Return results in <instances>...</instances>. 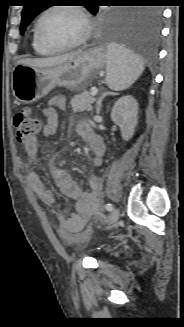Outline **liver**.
<instances>
[{
  "instance_id": "6515ba94",
  "label": "liver",
  "mask_w": 184,
  "mask_h": 327,
  "mask_svg": "<svg viewBox=\"0 0 184 327\" xmlns=\"http://www.w3.org/2000/svg\"><path fill=\"white\" fill-rule=\"evenodd\" d=\"M81 51L64 54L56 57L48 58H36V59H23L18 62V64H24L36 68H50L57 65H61L66 61H69L76 57Z\"/></svg>"
}]
</instances>
